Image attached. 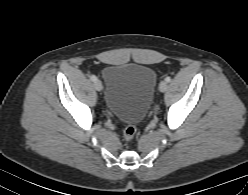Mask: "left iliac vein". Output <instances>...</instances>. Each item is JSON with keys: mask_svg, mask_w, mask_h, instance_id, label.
Masks as SVG:
<instances>
[{"mask_svg": "<svg viewBox=\"0 0 248 195\" xmlns=\"http://www.w3.org/2000/svg\"><path fill=\"white\" fill-rule=\"evenodd\" d=\"M167 87H168V84L166 81H162L160 84H159V90L161 92H165L167 90Z\"/></svg>", "mask_w": 248, "mask_h": 195, "instance_id": "1", "label": "left iliac vein"}]
</instances>
